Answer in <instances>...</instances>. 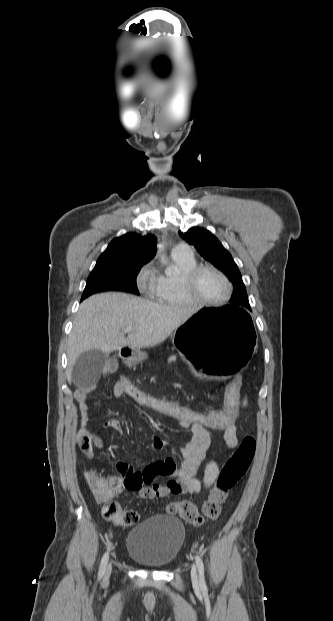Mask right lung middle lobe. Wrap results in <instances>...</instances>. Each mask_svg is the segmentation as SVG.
<instances>
[{
    "mask_svg": "<svg viewBox=\"0 0 333 621\" xmlns=\"http://www.w3.org/2000/svg\"><path fill=\"white\" fill-rule=\"evenodd\" d=\"M144 264L140 262L96 263L87 280L81 300L106 290H121L138 295L135 277Z\"/></svg>",
    "mask_w": 333,
    "mask_h": 621,
    "instance_id": "obj_1",
    "label": "right lung middle lobe"
}]
</instances>
